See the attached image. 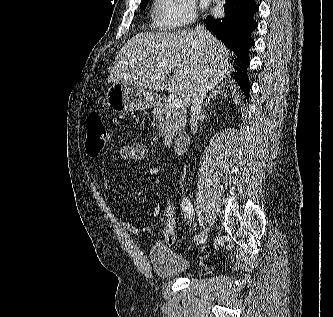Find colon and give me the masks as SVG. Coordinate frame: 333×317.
<instances>
[{"mask_svg": "<svg viewBox=\"0 0 333 317\" xmlns=\"http://www.w3.org/2000/svg\"><path fill=\"white\" fill-rule=\"evenodd\" d=\"M109 141V135L100 115L92 111L87 119L86 151L90 156L98 155ZM160 217L164 222V236L169 245L176 243L175 226L177 222V210L174 205L168 204L162 207Z\"/></svg>", "mask_w": 333, "mask_h": 317, "instance_id": "obj_1", "label": "colon"}]
</instances>
